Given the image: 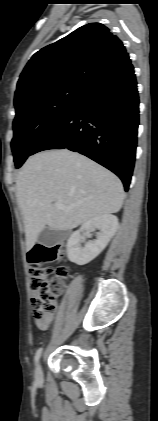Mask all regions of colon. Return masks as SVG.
<instances>
[{
    "instance_id": "obj_1",
    "label": "colon",
    "mask_w": 158,
    "mask_h": 421,
    "mask_svg": "<svg viewBox=\"0 0 158 421\" xmlns=\"http://www.w3.org/2000/svg\"><path fill=\"white\" fill-rule=\"evenodd\" d=\"M62 253L60 244L36 245L28 252L31 309L35 319L45 320L53 316L57 309V297L67 277V269L60 266L53 270L50 263Z\"/></svg>"
}]
</instances>
